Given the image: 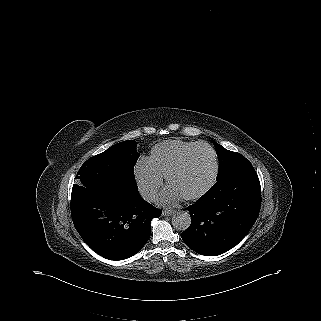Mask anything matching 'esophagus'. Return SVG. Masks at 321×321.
<instances>
[{"instance_id":"1","label":"esophagus","mask_w":321,"mask_h":321,"mask_svg":"<svg viewBox=\"0 0 321 321\" xmlns=\"http://www.w3.org/2000/svg\"><path fill=\"white\" fill-rule=\"evenodd\" d=\"M174 213H175L174 210H164V211L162 212V215H163V216H171V215H173Z\"/></svg>"}]
</instances>
